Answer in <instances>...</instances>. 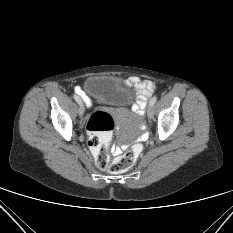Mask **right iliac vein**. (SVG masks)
Here are the masks:
<instances>
[{"instance_id": "obj_1", "label": "right iliac vein", "mask_w": 233, "mask_h": 233, "mask_svg": "<svg viewBox=\"0 0 233 233\" xmlns=\"http://www.w3.org/2000/svg\"><path fill=\"white\" fill-rule=\"evenodd\" d=\"M76 101H77L78 106H79V109H78L79 116L82 117L84 115V111H85L84 103L80 97H77Z\"/></svg>"}]
</instances>
